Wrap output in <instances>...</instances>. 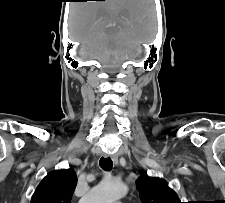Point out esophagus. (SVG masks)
Returning <instances> with one entry per match:
<instances>
[{"instance_id":"34e87169","label":"esophagus","mask_w":225,"mask_h":203,"mask_svg":"<svg viewBox=\"0 0 225 203\" xmlns=\"http://www.w3.org/2000/svg\"><path fill=\"white\" fill-rule=\"evenodd\" d=\"M104 157H106V158L110 157L114 163H116V164L118 163V156L116 154H111V155L104 154Z\"/></svg>"}]
</instances>
